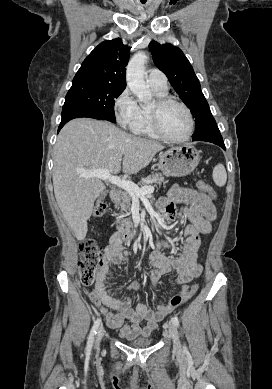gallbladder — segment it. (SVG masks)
I'll use <instances>...</instances> for the list:
<instances>
[{
  "mask_svg": "<svg viewBox=\"0 0 272 389\" xmlns=\"http://www.w3.org/2000/svg\"><path fill=\"white\" fill-rule=\"evenodd\" d=\"M107 193H108L107 190L103 191V192L98 196V201L103 200V199L106 197Z\"/></svg>",
  "mask_w": 272,
  "mask_h": 389,
  "instance_id": "1",
  "label": "gallbladder"
}]
</instances>
